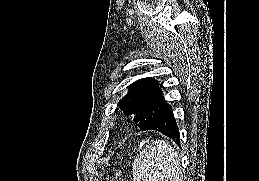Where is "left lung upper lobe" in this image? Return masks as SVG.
<instances>
[{
  "mask_svg": "<svg viewBox=\"0 0 259 181\" xmlns=\"http://www.w3.org/2000/svg\"><path fill=\"white\" fill-rule=\"evenodd\" d=\"M128 89L118 106L126 115L134 114V122L143 131L157 117L166 101L159 82L153 78L139 79Z\"/></svg>",
  "mask_w": 259,
  "mask_h": 181,
  "instance_id": "left-lung-upper-lobe-1",
  "label": "left lung upper lobe"
}]
</instances>
